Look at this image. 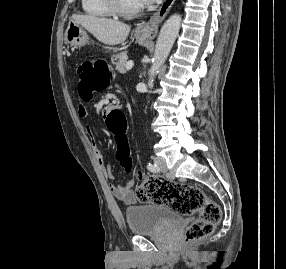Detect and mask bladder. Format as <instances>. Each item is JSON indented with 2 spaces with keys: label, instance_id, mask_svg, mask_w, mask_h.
Returning <instances> with one entry per match:
<instances>
[{
  "label": "bladder",
  "instance_id": "31cf9c89",
  "mask_svg": "<svg viewBox=\"0 0 286 269\" xmlns=\"http://www.w3.org/2000/svg\"><path fill=\"white\" fill-rule=\"evenodd\" d=\"M125 216L130 232L137 236L167 229L182 220L175 210L154 204L128 207Z\"/></svg>",
  "mask_w": 286,
  "mask_h": 269
}]
</instances>
